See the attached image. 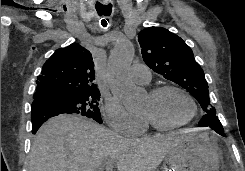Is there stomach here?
<instances>
[{
  "mask_svg": "<svg viewBox=\"0 0 245 171\" xmlns=\"http://www.w3.org/2000/svg\"><path fill=\"white\" fill-rule=\"evenodd\" d=\"M217 137L210 132L192 133L165 157L164 171H218Z\"/></svg>",
  "mask_w": 245,
  "mask_h": 171,
  "instance_id": "0dacf381",
  "label": "stomach"
}]
</instances>
